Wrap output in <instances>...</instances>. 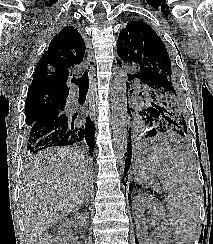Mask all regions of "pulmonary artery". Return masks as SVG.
<instances>
[{"instance_id":"obj_1","label":"pulmonary artery","mask_w":213,"mask_h":244,"mask_svg":"<svg viewBox=\"0 0 213 244\" xmlns=\"http://www.w3.org/2000/svg\"><path fill=\"white\" fill-rule=\"evenodd\" d=\"M76 98H77L76 93H73V95H72V99H73V100H76Z\"/></svg>"}]
</instances>
